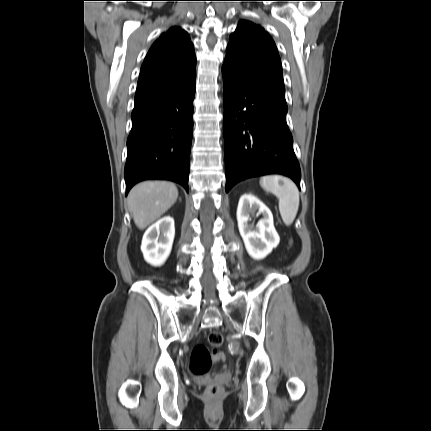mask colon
Masks as SVG:
<instances>
[{"instance_id":"5ec220e1","label":"colon","mask_w":431,"mask_h":431,"mask_svg":"<svg viewBox=\"0 0 431 431\" xmlns=\"http://www.w3.org/2000/svg\"><path fill=\"white\" fill-rule=\"evenodd\" d=\"M223 343V336L218 331H211L207 336V344H197L191 354L190 371L196 377L206 375L211 369L212 364L218 366L219 363H226V358L218 352ZM221 387L217 383L210 384L206 389V395L209 398H215L220 395Z\"/></svg>"}]
</instances>
